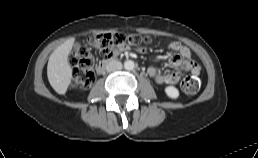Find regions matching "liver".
<instances>
[{"instance_id":"1","label":"liver","mask_w":258,"mask_h":158,"mask_svg":"<svg viewBox=\"0 0 258 158\" xmlns=\"http://www.w3.org/2000/svg\"><path fill=\"white\" fill-rule=\"evenodd\" d=\"M74 43V38L66 40L49 57L47 77L50 85L58 94H65L72 80V68L69 64L68 56Z\"/></svg>"}]
</instances>
